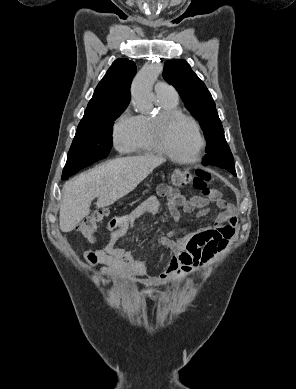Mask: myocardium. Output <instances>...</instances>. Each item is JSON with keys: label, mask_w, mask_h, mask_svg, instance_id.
I'll return each instance as SVG.
<instances>
[{"label": "myocardium", "mask_w": 296, "mask_h": 389, "mask_svg": "<svg viewBox=\"0 0 296 389\" xmlns=\"http://www.w3.org/2000/svg\"><path fill=\"white\" fill-rule=\"evenodd\" d=\"M185 119L189 121L195 128L198 137V147L195 154L190 158H181L175 155L168 147L167 144V132L170 125L178 120ZM152 137L155 143L157 150L170 158L171 160L182 163V164H192L199 161L203 151L205 149L206 140L202 132L201 126L198 121L180 110H163L160 111L152 120L151 124Z\"/></svg>", "instance_id": "myocardium-1"}]
</instances>
